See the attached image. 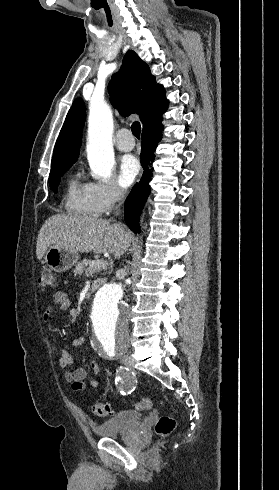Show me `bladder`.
Segmentation results:
<instances>
[{
  "instance_id": "31cf9c89",
  "label": "bladder",
  "mask_w": 279,
  "mask_h": 490,
  "mask_svg": "<svg viewBox=\"0 0 279 490\" xmlns=\"http://www.w3.org/2000/svg\"><path fill=\"white\" fill-rule=\"evenodd\" d=\"M143 416L144 415L133 409L123 410L114 417L96 424L92 427V430L94 431L95 436L100 438L112 437L121 434L124 431L131 432L134 431L136 427H139L140 423L143 421Z\"/></svg>"
}]
</instances>
